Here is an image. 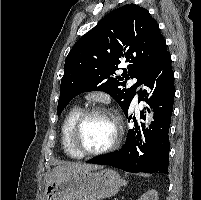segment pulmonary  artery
I'll return each instance as SVG.
<instances>
[{
  "label": "pulmonary artery",
  "mask_w": 201,
  "mask_h": 200,
  "mask_svg": "<svg viewBox=\"0 0 201 200\" xmlns=\"http://www.w3.org/2000/svg\"><path fill=\"white\" fill-rule=\"evenodd\" d=\"M137 100V95H136V97H135V101Z\"/></svg>",
  "instance_id": "1"
}]
</instances>
